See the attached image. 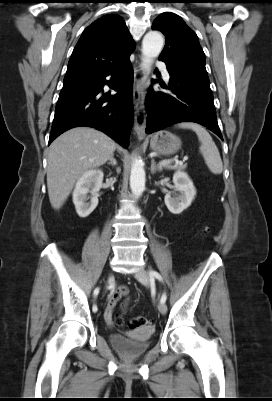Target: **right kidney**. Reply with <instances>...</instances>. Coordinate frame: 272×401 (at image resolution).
Masks as SVG:
<instances>
[{
    "instance_id": "ca27d5eb",
    "label": "right kidney",
    "mask_w": 272,
    "mask_h": 401,
    "mask_svg": "<svg viewBox=\"0 0 272 401\" xmlns=\"http://www.w3.org/2000/svg\"><path fill=\"white\" fill-rule=\"evenodd\" d=\"M103 172L90 170L85 172L77 181L73 191V203L81 218L90 215L98 205V192L101 189ZM91 193V197L87 194ZM90 198V202H86Z\"/></svg>"
}]
</instances>
